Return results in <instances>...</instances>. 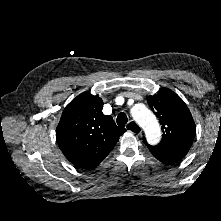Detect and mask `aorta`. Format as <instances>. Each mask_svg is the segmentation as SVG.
Here are the masks:
<instances>
[{"label":"aorta","instance_id":"aorta-1","mask_svg":"<svg viewBox=\"0 0 221 221\" xmlns=\"http://www.w3.org/2000/svg\"><path fill=\"white\" fill-rule=\"evenodd\" d=\"M131 115L144 129L148 143L157 144L161 139V130L155 115L141 104H137L131 109Z\"/></svg>","mask_w":221,"mask_h":221}]
</instances>
